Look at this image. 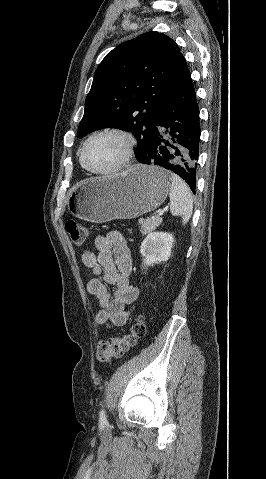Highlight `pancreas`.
Masks as SVG:
<instances>
[{
    "label": "pancreas",
    "instance_id": "1",
    "mask_svg": "<svg viewBox=\"0 0 266 479\" xmlns=\"http://www.w3.org/2000/svg\"><path fill=\"white\" fill-rule=\"evenodd\" d=\"M138 223L140 225V232L143 235H145L155 230L162 223V218L155 217V218L139 219Z\"/></svg>",
    "mask_w": 266,
    "mask_h": 479
}]
</instances>
